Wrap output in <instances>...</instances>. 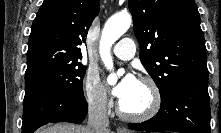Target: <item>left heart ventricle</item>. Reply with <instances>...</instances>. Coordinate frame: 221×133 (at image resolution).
Wrapping results in <instances>:
<instances>
[{
	"instance_id": "left-heart-ventricle-1",
	"label": "left heart ventricle",
	"mask_w": 221,
	"mask_h": 133,
	"mask_svg": "<svg viewBox=\"0 0 221 133\" xmlns=\"http://www.w3.org/2000/svg\"><path fill=\"white\" fill-rule=\"evenodd\" d=\"M150 101L151 95L148 87L139 82L134 92L121 103L126 111L137 113L144 111L149 106Z\"/></svg>"
}]
</instances>
